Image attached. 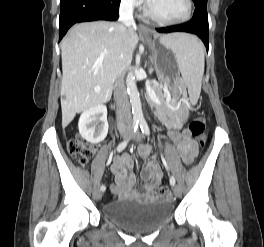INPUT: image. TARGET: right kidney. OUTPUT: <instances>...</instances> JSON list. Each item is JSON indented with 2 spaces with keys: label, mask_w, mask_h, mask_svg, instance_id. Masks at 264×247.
Here are the masks:
<instances>
[{
  "label": "right kidney",
  "mask_w": 264,
  "mask_h": 247,
  "mask_svg": "<svg viewBox=\"0 0 264 247\" xmlns=\"http://www.w3.org/2000/svg\"><path fill=\"white\" fill-rule=\"evenodd\" d=\"M78 128L87 142L97 144L103 141L108 133L107 108L97 105L86 109L80 116Z\"/></svg>",
  "instance_id": "right-kidney-1"
}]
</instances>
